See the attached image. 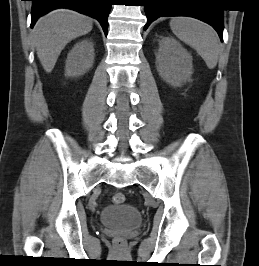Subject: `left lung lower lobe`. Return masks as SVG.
<instances>
[{"label":"left lung lower lobe","instance_id":"obj_1","mask_svg":"<svg viewBox=\"0 0 259 266\" xmlns=\"http://www.w3.org/2000/svg\"><path fill=\"white\" fill-rule=\"evenodd\" d=\"M147 23L164 16H190L210 24L223 39L224 14L223 9L206 7L198 4L202 0H144ZM204 2V0H203Z\"/></svg>","mask_w":259,"mask_h":266}]
</instances>
